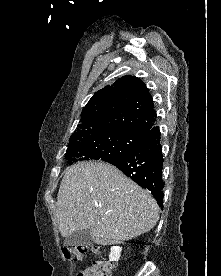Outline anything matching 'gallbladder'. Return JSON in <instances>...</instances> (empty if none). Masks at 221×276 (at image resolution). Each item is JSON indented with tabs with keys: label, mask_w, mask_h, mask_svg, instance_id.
Returning a JSON list of instances; mask_svg holds the SVG:
<instances>
[{
	"label": "gallbladder",
	"mask_w": 221,
	"mask_h": 276,
	"mask_svg": "<svg viewBox=\"0 0 221 276\" xmlns=\"http://www.w3.org/2000/svg\"><path fill=\"white\" fill-rule=\"evenodd\" d=\"M93 244L92 235L89 229L79 230L67 236L64 245L67 247H89Z\"/></svg>",
	"instance_id": "1"
}]
</instances>
